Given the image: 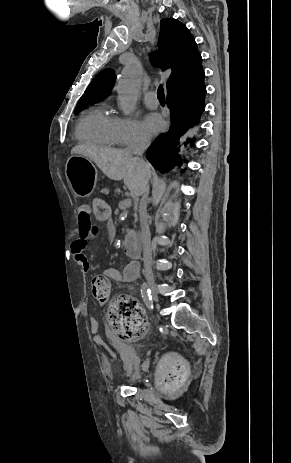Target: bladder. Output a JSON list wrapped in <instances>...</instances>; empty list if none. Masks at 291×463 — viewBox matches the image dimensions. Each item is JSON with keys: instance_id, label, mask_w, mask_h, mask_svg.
Listing matches in <instances>:
<instances>
[{"instance_id": "1", "label": "bladder", "mask_w": 291, "mask_h": 463, "mask_svg": "<svg viewBox=\"0 0 291 463\" xmlns=\"http://www.w3.org/2000/svg\"><path fill=\"white\" fill-rule=\"evenodd\" d=\"M116 350L126 364L124 371L125 378L131 383H136L138 377L135 375L134 370L136 365L140 363L136 346L126 341L116 342Z\"/></svg>"}]
</instances>
